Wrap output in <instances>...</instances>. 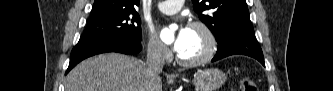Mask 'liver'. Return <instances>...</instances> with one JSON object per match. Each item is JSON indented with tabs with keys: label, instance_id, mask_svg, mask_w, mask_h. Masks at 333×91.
Here are the masks:
<instances>
[{
	"label": "liver",
	"instance_id": "6515ba94",
	"mask_svg": "<svg viewBox=\"0 0 333 91\" xmlns=\"http://www.w3.org/2000/svg\"><path fill=\"white\" fill-rule=\"evenodd\" d=\"M65 91H162L140 60L117 53L101 54L78 64L66 78Z\"/></svg>",
	"mask_w": 333,
	"mask_h": 91
}]
</instances>
